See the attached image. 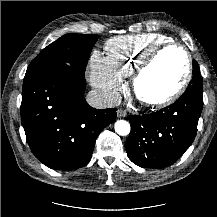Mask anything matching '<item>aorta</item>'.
I'll list each match as a JSON object with an SVG mask.
<instances>
[{"label": "aorta", "mask_w": 217, "mask_h": 217, "mask_svg": "<svg viewBox=\"0 0 217 217\" xmlns=\"http://www.w3.org/2000/svg\"><path fill=\"white\" fill-rule=\"evenodd\" d=\"M115 132L120 136H126L130 133V124L126 120H118L114 125Z\"/></svg>", "instance_id": "1"}]
</instances>
